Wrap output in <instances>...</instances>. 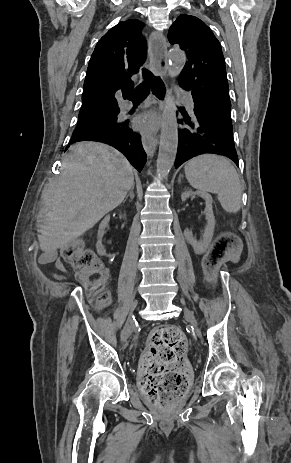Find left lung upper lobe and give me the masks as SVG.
I'll list each match as a JSON object with an SVG mask.
<instances>
[{
  "label": "left lung upper lobe",
  "mask_w": 291,
  "mask_h": 463,
  "mask_svg": "<svg viewBox=\"0 0 291 463\" xmlns=\"http://www.w3.org/2000/svg\"><path fill=\"white\" fill-rule=\"evenodd\" d=\"M171 44H179L187 55L180 75L183 89L191 92L201 112L232 123L225 60L221 45L200 19L180 15L168 32Z\"/></svg>",
  "instance_id": "5c2ea615"
}]
</instances>
